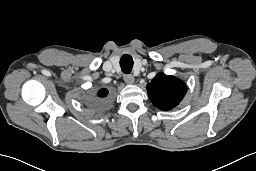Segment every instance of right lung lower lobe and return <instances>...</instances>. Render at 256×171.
<instances>
[{
    "label": "right lung lower lobe",
    "mask_w": 256,
    "mask_h": 171,
    "mask_svg": "<svg viewBox=\"0 0 256 171\" xmlns=\"http://www.w3.org/2000/svg\"><path fill=\"white\" fill-rule=\"evenodd\" d=\"M106 102L102 101L96 105H94L93 107L97 110V111H102L105 107Z\"/></svg>",
    "instance_id": "right-lung-lower-lobe-1"
}]
</instances>
